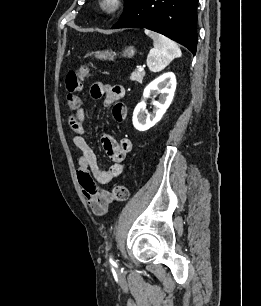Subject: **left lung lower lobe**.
<instances>
[{"label": "left lung lower lobe", "instance_id": "left-lung-lower-lobe-1", "mask_svg": "<svg viewBox=\"0 0 261 306\" xmlns=\"http://www.w3.org/2000/svg\"><path fill=\"white\" fill-rule=\"evenodd\" d=\"M198 0H137L112 26L147 28L187 47L194 55L197 47Z\"/></svg>", "mask_w": 261, "mask_h": 306}]
</instances>
